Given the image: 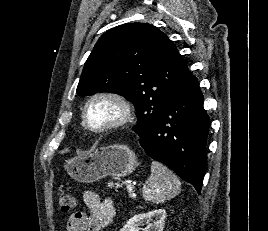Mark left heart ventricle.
Masks as SVG:
<instances>
[{
	"mask_svg": "<svg viewBox=\"0 0 268 231\" xmlns=\"http://www.w3.org/2000/svg\"><path fill=\"white\" fill-rule=\"evenodd\" d=\"M119 114V107L111 100L93 102L87 112L88 122L92 126H100L114 120Z\"/></svg>",
	"mask_w": 268,
	"mask_h": 231,
	"instance_id": "b2bd125f",
	"label": "left heart ventricle"
}]
</instances>
